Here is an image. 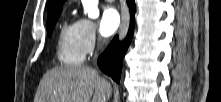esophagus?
Here are the masks:
<instances>
[{
  "mask_svg": "<svg viewBox=\"0 0 221 102\" xmlns=\"http://www.w3.org/2000/svg\"><path fill=\"white\" fill-rule=\"evenodd\" d=\"M128 25H129V13L127 8H125L122 13V21L119 30L120 38H123L126 35L128 30Z\"/></svg>",
  "mask_w": 221,
  "mask_h": 102,
  "instance_id": "1",
  "label": "esophagus"
}]
</instances>
